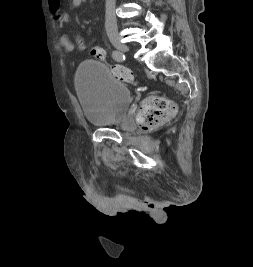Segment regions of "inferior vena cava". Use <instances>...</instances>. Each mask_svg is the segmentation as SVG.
Returning <instances> with one entry per match:
<instances>
[{
	"mask_svg": "<svg viewBox=\"0 0 253 267\" xmlns=\"http://www.w3.org/2000/svg\"><path fill=\"white\" fill-rule=\"evenodd\" d=\"M116 0H106L105 28L106 30H116L117 22L115 16Z\"/></svg>",
	"mask_w": 253,
	"mask_h": 267,
	"instance_id": "602c4592",
	"label": "inferior vena cava"
}]
</instances>
